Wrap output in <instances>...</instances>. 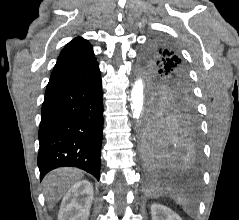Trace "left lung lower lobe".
<instances>
[{"instance_id":"1","label":"left lung lower lobe","mask_w":239,"mask_h":220,"mask_svg":"<svg viewBox=\"0 0 239 220\" xmlns=\"http://www.w3.org/2000/svg\"><path fill=\"white\" fill-rule=\"evenodd\" d=\"M200 141L195 112H155L148 122L142 153L149 168L170 164H194Z\"/></svg>"}]
</instances>
